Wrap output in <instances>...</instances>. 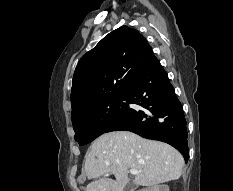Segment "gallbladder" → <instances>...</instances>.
I'll use <instances>...</instances> for the list:
<instances>
[{
  "mask_svg": "<svg viewBox=\"0 0 233 191\" xmlns=\"http://www.w3.org/2000/svg\"><path fill=\"white\" fill-rule=\"evenodd\" d=\"M135 189V184L133 182V180H129V182L127 183V185L124 188V191H134Z\"/></svg>",
  "mask_w": 233,
  "mask_h": 191,
  "instance_id": "gallbladder-1",
  "label": "gallbladder"
}]
</instances>
